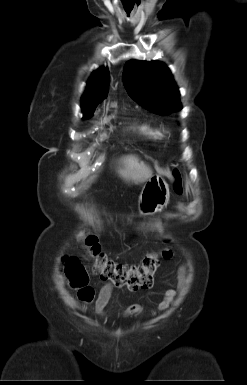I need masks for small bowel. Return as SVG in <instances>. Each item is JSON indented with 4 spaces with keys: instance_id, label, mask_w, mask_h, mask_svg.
I'll list each match as a JSON object with an SVG mask.
<instances>
[{
    "instance_id": "obj_1",
    "label": "small bowel",
    "mask_w": 247,
    "mask_h": 385,
    "mask_svg": "<svg viewBox=\"0 0 247 385\" xmlns=\"http://www.w3.org/2000/svg\"><path fill=\"white\" fill-rule=\"evenodd\" d=\"M186 282V268L185 266H180L178 269V287L177 289H169L165 291L163 295V299L158 304V309L160 311H165L172 307L175 303V299L177 295L182 291ZM113 285L111 283L104 284L98 294V297L95 301L94 310L95 313L99 316L105 315V308L109 303L112 293H113ZM142 312V307L139 304L129 305L124 310V316L130 317L138 315Z\"/></svg>"
}]
</instances>
